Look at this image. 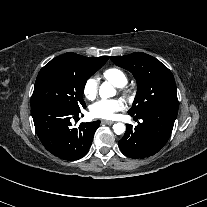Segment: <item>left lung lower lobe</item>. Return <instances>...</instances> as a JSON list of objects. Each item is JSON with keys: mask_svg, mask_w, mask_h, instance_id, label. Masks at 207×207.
Segmentation results:
<instances>
[{"mask_svg": "<svg viewBox=\"0 0 207 207\" xmlns=\"http://www.w3.org/2000/svg\"><path fill=\"white\" fill-rule=\"evenodd\" d=\"M177 112L178 109L158 107L135 115V118L142 119L143 122L134 128L132 125L127 126L119 141L122 152L134 159L156 154L170 138Z\"/></svg>", "mask_w": 207, "mask_h": 207, "instance_id": "1", "label": "left lung lower lobe"}]
</instances>
